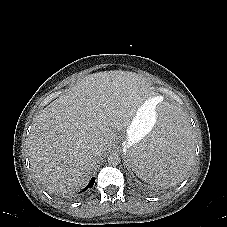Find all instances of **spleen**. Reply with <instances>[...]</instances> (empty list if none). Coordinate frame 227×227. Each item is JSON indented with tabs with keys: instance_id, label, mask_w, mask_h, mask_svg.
<instances>
[{
	"instance_id": "1",
	"label": "spleen",
	"mask_w": 227,
	"mask_h": 227,
	"mask_svg": "<svg viewBox=\"0 0 227 227\" xmlns=\"http://www.w3.org/2000/svg\"><path fill=\"white\" fill-rule=\"evenodd\" d=\"M156 122L129 143L125 156L136 176L164 188L183 181L194 159V134L179 106L168 96L154 102Z\"/></svg>"
}]
</instances>
